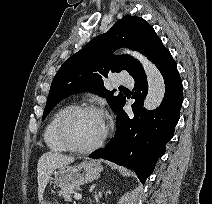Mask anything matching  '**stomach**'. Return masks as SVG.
Here are the masks:
<instances>
[{"mask_svg": "<svg viewBox=\"0 0 212 204\" xmlns=\"http://www.w3.org/2000/svg\"><path fill=\"white\" fill-rule=\"evenodd\" d=\"M102 165L97 161H85L75 166H62L53 172L54 184L61 188L89 183L100 176ZM42 204H52L44 202Z\"/></svg>", "mask_w": 212, "mask_h": 204, "instance_id": "stomach-1", "label": "stomach"}]
</instances>
